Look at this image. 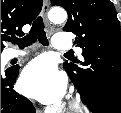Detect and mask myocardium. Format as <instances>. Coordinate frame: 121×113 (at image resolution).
<instances>
[{
    "label": "myocardium",
    "mask_w": 121,
    "mask_h": 113,
    "mask_svg": "<svg viewBox=\"0 0 121 113\" xmlns=\"http://www.w3.org/2000/svg\"><path fill=\"white\" fill-rule=\"evenodd\" d=\"M81 105V102L76 98H71L69 102V109H77Z\"/></svg>",
    "instance_id": "myocardium-1"
}]
</instances>
